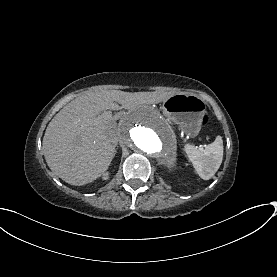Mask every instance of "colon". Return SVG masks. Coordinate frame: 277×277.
Listing matches in <instances>:
<instances>
[{
	"instance_id": "obj_1",
	"label": "colon",
	"mask_w": 277,
	"mask_h": 277,
	"mask_svg": "<svg viewBox=\"0 0 277 277\" xmlns=\"http://www.w3.org/2000/svg\"><path fill=\"white\" fill-rule=\"evenodd\" d=\"M207 118H204V120H203V124H206L207 123Z\"/></svg>"
}]
</instances>
